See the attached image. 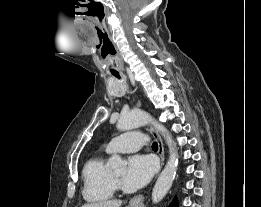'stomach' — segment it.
Returning <instances> with one entry per match:
<instances>
[{
    "mask_svg": "<svg viewBox=\"0 0 261 207\" xmlns=\"http://www.w3.org/2000/svg\"><path fill=\"white\" fill-rule=\"evenodd\" d=\"M130 207H143V205H134V204H130Z\"/></svg>",
    "mask_w": 261,
    "mask_h": 207,
    "instance_id": "stomach-1",
    "label": "stomach"
}]
</instances>
